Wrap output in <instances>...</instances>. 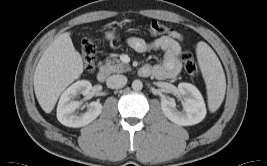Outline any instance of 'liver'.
Masks as SVG:
<instances>
[{
	"label": "liver",
	"instance_id": "liver-1",
	"mask_svg": "<svg viewBox=\"0 0 267 166\" xmlns=\"http://www.w3.org/2000/svg\"><path fill=\"white\" fill-rule=\"evenodd\" d=\"M59 35L44 51L34 73V91L41 108L50 113L61 93L83 72V61L70 38Z\"/></svg>",
	"mask_w": 267,
	"mask_h": 166
}]
</instances>
